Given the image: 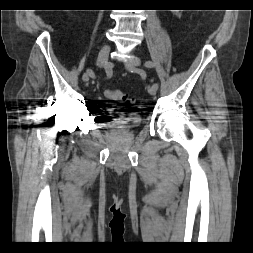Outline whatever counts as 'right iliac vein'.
Listing matches in <instances>:
<instances>
[{"mask_svg":"<svg viewBox=\"0 0 253 253\" xmlns=\"http://www.w3.org/2000/svg\"><path fill=\"white\" fill-rule=\"evenodd\" d=\"M110 45L104 44L99 52L97 63L100 67H104L106 65L109 53H110ZM90 75L87 73H84L82 76L83 81H87L89 79Z\"/></svg>","mask_w":253,"mask_h":253,"instance_id":"obj_1","label":"right iliac vein"}]
</instances>
